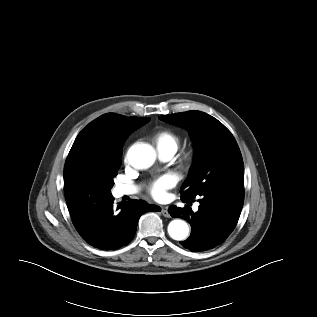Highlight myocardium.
<instances>
[{
    "label": "myocardium",
    "instance_id": "1",
    "mask_svg": "<svg viewBox=\"0 0 317 317\" xmlns=\"http://www.w3.org/2000/svg\"><path fill=\"white\" fill-rule=\"evenodd\" d=\"M193 159H194V151L191 148H189L182 152L180 162L184 166H189L193 162Z\"/></svg>",
    "mask_w": 317,
    "mask_h": 317
}]
</instances>
